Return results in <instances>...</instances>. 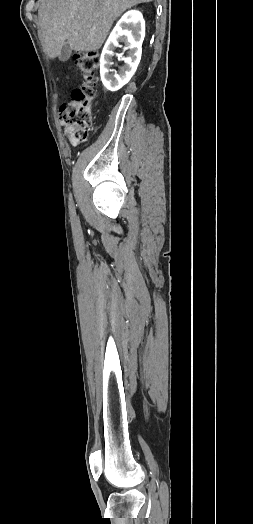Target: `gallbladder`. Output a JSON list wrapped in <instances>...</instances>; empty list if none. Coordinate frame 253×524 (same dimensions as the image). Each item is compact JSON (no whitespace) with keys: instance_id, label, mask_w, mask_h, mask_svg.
Instances as JSON below:
<instances>
[{"instance_id":"obj_1","label":"gallbladder","mask_w":253,"mask_h":524,"mask_svg":"<svg viewBox=\"0 0 253 524\" xmlns=\"http://www.w3.org/2000/svg\"><path fill=\"white\" fill-rule=\"evenodd\" d=\"M71 53H72V49H71L70 46L66 43V44L62 47V49H61V51H60V53H59V55H58V58H59V60H60L61 62H66V61L70 58Z\"/></svg>"}]
</instances>
